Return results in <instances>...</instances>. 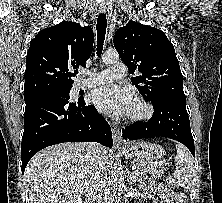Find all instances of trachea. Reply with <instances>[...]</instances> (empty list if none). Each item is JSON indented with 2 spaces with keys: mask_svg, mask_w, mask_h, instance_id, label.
Segmentation results:
<instances>
[{
  "mask_svg": "<svg viewBox=\"0 0 222 203\" xmlns=\"http://www.w3.org/2000/svg\"><path fill=\"white\" fill-rule=\"evenodd\" d=\"M106 27H107V19L106 14H100L97 19V55L99 56L103 49V42L105 39L106 34Z\"/></svg>",
  "mask_w": 222,
  "mask_h": 203,
  "instance_id": "obj_1",
  "label": "trachea"
}]
</instances>
